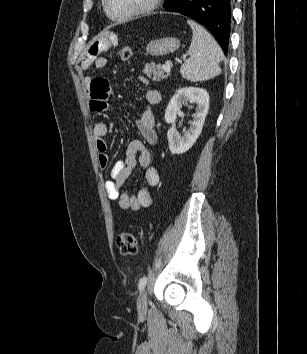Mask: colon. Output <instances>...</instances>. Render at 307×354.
I'll return each mask as SVG.
<instances>
[{
  "label": "colon",
  "instance_id": "obj_1",
  "mask_svg": "<svg viewBox=\"0 0 307 354\" xmlns=\"http://www.w3.org/2000/svg\"><path fill=\"white\" fill-rule=\"evenodd\" d=\"M133 55L132 48L124 46L121 48L120 56L124 61L129 60ZM117 244L123 255H135L138 251V242L134 234L130 232H121L117 236Z\"/></svg>",
  "mask_w": 307,
  "mask_h": 354
}]
</instances>
